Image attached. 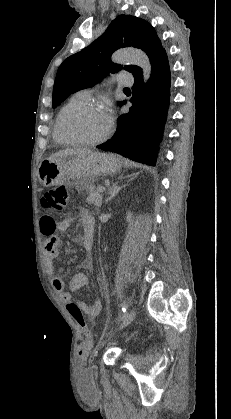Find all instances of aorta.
I'll return each mask as SVG.
<instances>
[{"instance_id": "obj_1", "label": "aorta", "mask_w": 231, "mask_h": 419, "mask_svg": "<svg viewBox=\"0 0 231 419\" xmlns=\"http://www.w3.org/2000/svg\"><path fill=\"white\" fill-rule=\"evenodd\" d=\"M112 61L117 64L131 63L139 66L143 72L146 83L151 75V64L148 56L139 49H121L112 55Z\"/></svg>"}]
</instances>
